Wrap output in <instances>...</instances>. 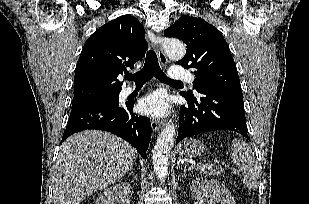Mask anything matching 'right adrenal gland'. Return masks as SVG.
<instances>
[{"label":"right adrenal gland","instance_id":"1","mask_svg":"<svg viewBox=\"0 0 309 204\" xmlns=\"http://www.w3.org/2000/svg\"><path fill=\"white\" fill-rule=\"evenodd\" d=\"M129 176H132L134 179L137 180V176L135 175L133 168L130 170V173L128 174Z\"/></svg>","mask_w":309,"mask_h":204}]
</instances>
